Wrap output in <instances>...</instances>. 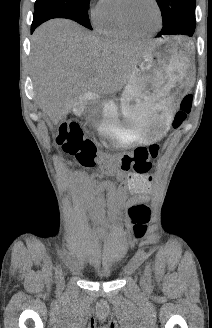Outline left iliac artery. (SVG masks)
<instances>
[{
    "label": "left iliac artery",
    "instance_id": "44dca946",
    "mask_svg": "<svg viewBox=\"0 0 212 328\" xmlns=\"http://www.w3.org/2000/svg\"><path fill=\"white\" fill-rule=\"evenodd\" d=\"M145 275H146L148 282H150L151 281V268L149 265L146 266Z\"/></svg>",
    "mask_w": 212,
    "mask_h": 328
}]
</instances>
